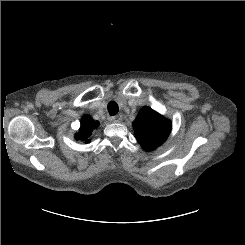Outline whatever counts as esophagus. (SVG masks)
Returning <instances> with one entry per match:
<instances>
[{
	"label": "esophagus",
	"mask_w": 245,
	"mask_h": 245,
	"mask_svg": "<svg viewBox=\"0 0 245 245\" xmlns=\"http://www.w3.org/2000/svg\"><path fill=\"white\" fill-rule=\"evenodd\" d=\"M122 118H123L122 114H117V115L112 117V121L115 123H119L122 121Z\"/></svg>",
	"instance_id": "obj_1"
}]
</instances>
